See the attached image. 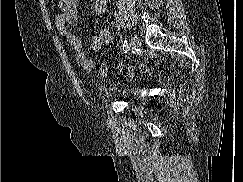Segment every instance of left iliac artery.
<instances>
[{
    "label": "left iliac artery",
    "mask_w": 243,
    "mask_h": 182,
    "mask_svg": "<svg viewBox=\"0 0 243 182\" xmlns=\"http://www.w3.org/2000/svg\"><path fill=\"white\" fill-rule=\"evenodd\" d=\"M128 50H129L128 40L124 39L123 40V51L126 54L128 52Z\"/></svg>",
    "instance_id": "obj_1"
}]
</instances>
